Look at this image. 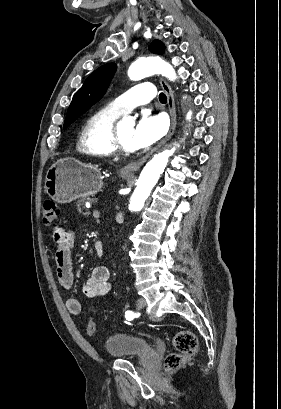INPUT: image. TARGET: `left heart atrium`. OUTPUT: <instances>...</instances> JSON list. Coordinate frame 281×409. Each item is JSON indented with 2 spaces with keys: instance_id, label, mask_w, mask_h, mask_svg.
<instances>
[{
  "instance_id": "obj_1",
  "label": "left heart atrium",
  "mask_w": 281,
  "mask_h": 409,
  "mask_svg": "<svg viewBox=\"0 0 281 409\" xmlns=\"http://www.w3.org/2000/svg\"><path fill=\"white\" fill-rule=\"evenodd\" d=\"M167 123L162 115H146L133 131L132 143L135 149L148 148L163 137Z\"/></svg>"
}]
</instances>
